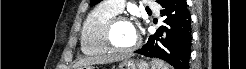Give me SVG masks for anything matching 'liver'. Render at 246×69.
<instances>
[{
	"label": "liver",
	"mask_w": 246,
	"mask_h": 69,
	"mask_svg": "<svg viewBox=\"0 0 246 69\" xmlns=\"http://www.w3.org/2000/svg\"><path fill=\"white\" fill-rule=\"evenodd\" d=\"M125 56L108 54L103 56L96 57H87L85 59H81L78 63L75 64L74 68L78 69L84 66H89L91 64H104V63H112L115 61L123 60Z\"/></svg>",
	"instance_id": "6515ba94"
}]
</instances>
